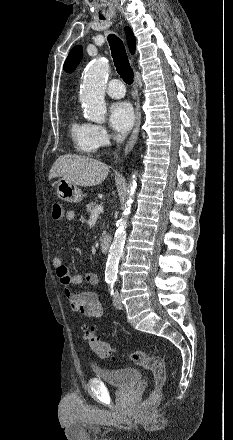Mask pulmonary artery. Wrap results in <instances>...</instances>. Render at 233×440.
<instances>
[{
  "label": "pulmonary artery",
  "mask_w": 233,
  "mask_h": 440,
  "mask_svg": "<svg viewBox=\"0 0 233 440\" xmlns=\"http://www.w3.org/2000/svg\"><path fill=\"white\" fill-rule=\"evenodd\" d=\"M107 94L112 98H122L125 95L123 83L118 79L111 80L107 85Z\"/></svg>",
  "instance_id": "pulmonary-artery-1"
}]
</instances>
